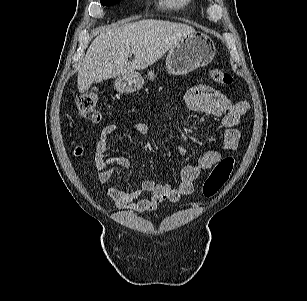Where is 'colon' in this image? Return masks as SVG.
Instances as JSON below:
<instances>
[{
    "label": "colon",
    "instance_id": "obj_1",
    "mask_svg": "<svg viewBox=\"0 0 307 301\" xmlns=\"http://www.w3.org/2000/svg\"><path fill=\"white\" fill-rule=\"evenodd\" d=\"M211 79L223 86L233 83V77L227 71L220 68H212L210 71ZM98 93L95 90L83 92L78 95L76 100L79 115L86 121L95 122L100 119V112L97 108ZM235 164L232 156L221 158L212 168L203 184V194L207 198L214 197L228 181Z\"/></svg>",
    "mask_w": 307,
    "mask_h": 301
}]
</instances>
